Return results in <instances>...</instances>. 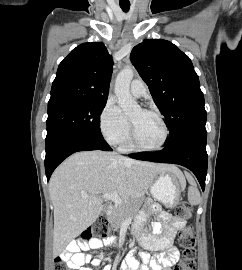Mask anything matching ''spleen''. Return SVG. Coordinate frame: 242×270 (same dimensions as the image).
Returning <instances> with one entry per match:
<instances>
[{"instance_id": "1", "label": "spleen", "mask_w": 242, "mask_h": 270, "mask_svg": "<svg viewBox=\"0 0 242 270\" xmlns=\"http://www.w3.org/2000/svg\"><path fill=\"white\" fill-rule=\"evenodd\" d=\"M190 187L188 188V201L191 205H197L200 203V193L194 180L190 179Z\"/></svg>"}]
</instances>
